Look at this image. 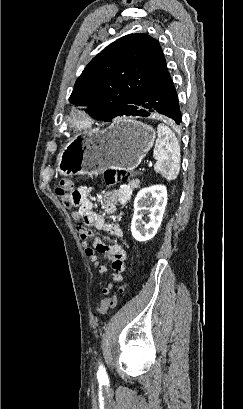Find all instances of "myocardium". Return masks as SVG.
I'll use <instances>...</instances> for the list:
<instances>
[{"label":"myocardium","mask_w":243,"mask_h":409,"mask_svg":"<svg viewBox=\"0 0 243 409\" xmlns=\"http://www.w3.org/2000/svg\"><path fill=\"white\" fill-rule=\"evenodd\" d=\"M95 123L92 114L84 106L72 107L63 117L62 125L72 132L90 129Z\"/></svg>","instance_id":"obj_1"}]
</instances>
